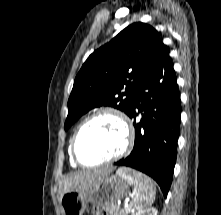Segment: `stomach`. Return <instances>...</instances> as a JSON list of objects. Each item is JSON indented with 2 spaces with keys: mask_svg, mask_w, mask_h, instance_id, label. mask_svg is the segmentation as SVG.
Masks as SVG:
<instances>
[{
  "mask_svg": "<svg viewBox=\"0 0 221 215\" xmlns=\"http://www.w3.org/2000/svg\"><path fill=\"white\" fill-rule=\"evenodd\" d=\"M120 170L122 174L107 176L87 190H74L64 193L60 199L62 215H83L88 204L102 208L113 207L127 195L129 187L132 185L124 174L140 181L146 177L130 169L123 168Z\"/></svg>",
  "mask_w": 221,
  "mask_h": 215,
  "instance_id": "stomach-1",
  "label": "stomach"
}]
</instances>
